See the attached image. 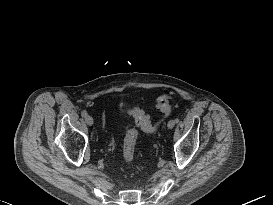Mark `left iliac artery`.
Listing matches in <instances>:
<instances>
[{
  "instance_id": "obj_1",
  "label": "left iliac artery",
  "mask_w": 273,
  "mask_h": 205,
  "mask_svg": "<svg viewBox=\"0 0 273 205\" xmlns=\"http://www.w3.org/2000/svg\"><path fill=\"white\" fill-rule=\"evenodd\" d=\"M174 121H175V123H178V122H179V119H178V118H176Z\"/></svg>"
}]
</instances>
